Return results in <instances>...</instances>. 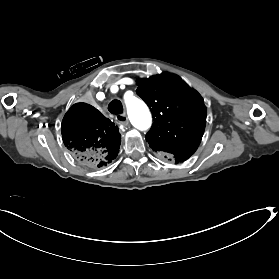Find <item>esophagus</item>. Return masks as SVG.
Wrapping results in <instances>:
<instances>
[{
	"instance_id": "34e87169",
	"label": "esophagus",
	"mask_w": 279,
	"mask_h": 279,
	"mask_svg": "<svg viewBox=\"0 0 279 279\" xmlns=\"http://www.w3.org/2000/svg\"><path fill=\"white\" fill-rule=\"evenodd\" d=\"M115 119L117 120L118 123L127 126L129 124V120L128 117L126 116V114H117L115 116Z\"/></svg>"
}]
</instances>
